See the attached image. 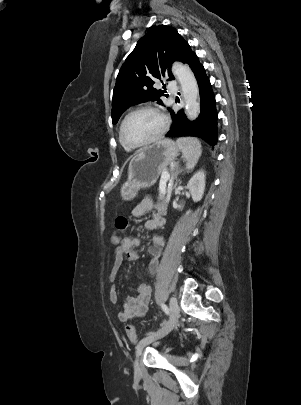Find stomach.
I'll return each mask as SVG.
<instances>
[{
  "label": "stomach",
  "mask_w": 301,
  "mask_h": 405,
  "mask_svg": "<svg viewBox=\"0 0 301 405\" xmlns=\"http://www.w3.org/2000/svg\"><path fill=\"white\" fill-rule=\"evenodd\" d=\"M178 154V145L170 139L159 140L137 152L129 162L128 177L121 187L123 200H131L140 189L153 186Z\"/></svg>",
  "instance_id": "1"
}]
</instances>
